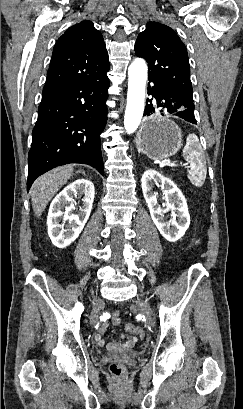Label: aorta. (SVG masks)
Returning <instances> with one entry per match:
<instances>
[{
	"instance_id": "762f6f07",
	"label": "aorta",
	"mask_w": 243,
	"mask_h": 409,
	"mask_svg": "<svg viewBox=\"0 0 243 409\" xmlns=\"http://www.w3.org/2000/svg\"><path fill=\"white\" fill-rule=\"evenodd\" d=\"M146 80V62L141 58L134 59L128 70L127 105L124 116L127 134L135 132L141 122L145 105Z\"/></svg>"
}]
</instances>
